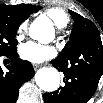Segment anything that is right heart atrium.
<instances>
[{
	"label": "right heart atrium",
	"instance_id": "1",
	"mask_svg": "<svg viewBox=\"0 0 103 103\" xmlns=\"http://www.w3.org/2000/svg\"><path fill=\"white\" fill-rule=\"evenodd\" d=\"M26 29H27V22L21 23L17 29V34H16V38L18 40L22 39V37L24 36V34L26 32Z\"/></svg>",
	"mask_w": 103,
	"mask_h": 103
}]
</instances>
